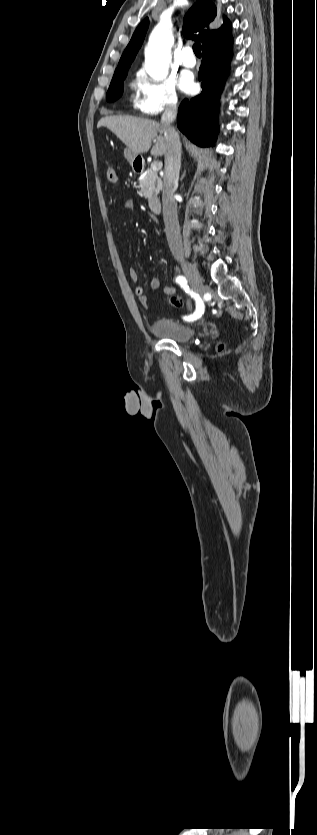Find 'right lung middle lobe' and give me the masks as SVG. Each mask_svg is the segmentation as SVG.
Segmentation results:
<instances>
[{
    "label": "right lung middle lobe",
    "mask_w": 317,
    "mask_h": 835,
    "mask_svg": "<svg viewBox=\"0 0 317 835\" xmlns=\"http://www.w3.org/2000/svg\"><path fill=\"white\" fill-rule=\"evenodd\" d=\"M127 73L128 68L115 71L110 87L106 94L107 101L113 102L117 100L119 97H121L123 93V80L127 76Z\"/></svg>",
    "instance_id": "obj_1"
}]
</instances>
